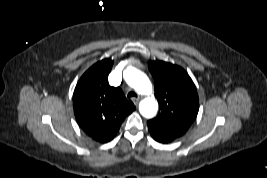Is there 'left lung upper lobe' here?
<instances>
[{
  "mask_svg": "<svg viewBox=\"0 0 267 178\" xmlns=\"http://www.w3.org/2000/svg\"><path fill=\"white\" fill-rule=\"evenodd\" d=\"M154 78L155 97L160 111L147 122L153 139L170 143L186 133L197 117L199 98L196 87L180 66L164 61H149Z\"/></svg>",
  "mask_w": 267,
  "mask_h": 178,
  "instance_id": "5c2ea615",
  "label": "left lung upper lobe"
}]
</instances>
